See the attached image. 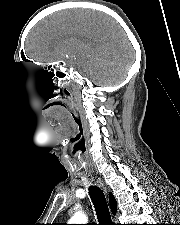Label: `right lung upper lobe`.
Listing matches in <instances>:
<instances>
[{
    "label": "right lung upper lobe",
    "instance_id": "1",
    "mask_svg": "<svg viewBox=\"0 0 180 225\" xmlns=\"http://www.w3.org/2000/svg\"><path fill=\"white\" fill-rule=\"evenodd\" d=\"M110 199V207L113 214L116 213V200L112 194L109 196Z\"/></svg>",
    "mask_w": 180,
    "mask_h": 225
}]
</instances>
